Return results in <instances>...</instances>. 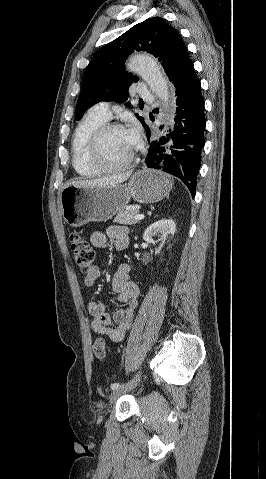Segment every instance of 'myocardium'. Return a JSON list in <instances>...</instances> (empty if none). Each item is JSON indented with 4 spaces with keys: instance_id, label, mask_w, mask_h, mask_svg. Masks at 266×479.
<instances>
[{
    "instance_id": "1",
    "label": "myocardium",
    "mask_w": 266,
    "mask_h": 479,
    "mask_svg": "<svg viewBox=\"0 0 266 479\" xmlns=\"http://www.w3.org/2000/svg\"><path fill=\"white\" fill-rule=\"evenodd\" d=\"M119 129L125 130V127L118 123H105L95 130V132L93 133L90 139L89 146H88V153H87L89 162L96 169H98L99 171L103 173H112V172L125 170L132 165L135 159L137 147L133 149L129 158L121 164L110 165L103 159L101 155V145H102L103 139L109 132L113 130H119Z\"/></svg>"
}]
</instances>
